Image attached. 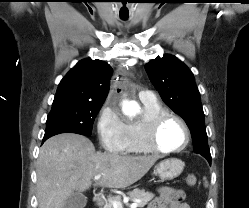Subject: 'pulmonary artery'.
Wrapping results in <instances>:
<instances>
[{"label": "pulmonary artery", "mask_w": 249, "mask_h": 208, "mask_svg": "<svg viewBox=\"0 0 249 208\" xmlns=\"http://www.w3.org/2000/svg\"><path fill=\"white\" fill-rule=\"evenodd\" d=\"M139 99L143 103H153V102H155L154 95L151 92H149V91H141L139 93Z\"/></svg>", "instance_id": "obj_1"}]
</instances>
